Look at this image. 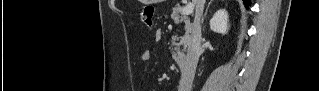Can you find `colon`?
I'll return each mask as SVG.
<instances>
[{
    "mask_svg": "<svg viewBox=\"0 0 319 91\" xmlns=\"http://www.w3.org/2000/svg\"><path fill=\"white\" fill-rule=\"evenodd\" d=\"M154 12L155 8L153 6H146L141 12L140 18L145 26L152 27L154 25Z\"/></svg>",
    "mask_w": 319,
    "mask_h": 91,
    "instance_id": "1",
    "label": "colon"
}]
</instances>
